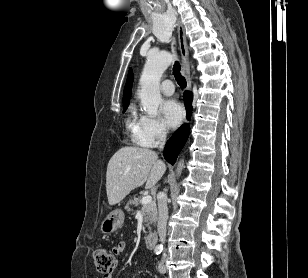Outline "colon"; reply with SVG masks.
I'll return each instance as SVG.
<instances>
[{
    "mask_svg": "<svg viewBox=\"0 0 308 278\" xmlns=\"http://www.w3.org/2000/svg\"><path fill=\"white\" fill-rule=\"evenodd\" d=\"M93 262L99 272L108 273L115 262L114 254L105 247H99L93 253Z\"/></svg>",
    "mask_w": 308,
    "mask_h": 278,
    "instance_id": "1",
    "label": "colon"
}]
</instances>
